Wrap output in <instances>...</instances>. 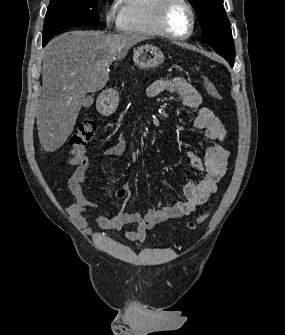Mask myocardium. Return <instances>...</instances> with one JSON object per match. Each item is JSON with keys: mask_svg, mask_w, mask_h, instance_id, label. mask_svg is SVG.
Returning <instances> with one entry per match:
<instances>
[{"mask_svg": "<svg viewBox=\"0 0 285 335\" xmlns=\"http://www.w3.org/2000/svg\"><path fill=\"white\" fill-rule=\"evenodd\" d=\"M176 4L182 5L187 10V12L189 13L191 17V23L189 24L187 32L177 31L170 24V13H171L172 8ZM159 22H160V26L163 32L168 37L175 38V39H181V38H185L189 36L190 33L192 32L194 23H195V17H194L193 10L187 1H163L161 8H160Z\"/></svg>", "mask_w": 285, "mask_h": 335, "instance_id": "f54148a6", "label": "myocardium"}]
</instances>
